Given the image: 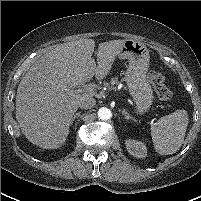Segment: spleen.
<instances>
[{
  "label": "spleen",
  "mask_w": 201,
  "mask_h": 201,
  "mask_svg": "<svg viewBox=\"0 0 201 201\" xmlns=\"http://www.w3.org/2000/svg\"><path fill=\"white\" fill-rule=\"evenodd\" d=\"M187 111L179 109L163 116L151 128L155 150L161 155H170L182 146L188 126Z\"/></svg>",
  "instance_id": "1"
}]
</instances>
